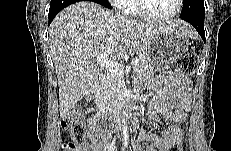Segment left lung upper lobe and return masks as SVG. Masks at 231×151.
I'll list each match as a JSON object with an SVG mask.
<instances>
[{"mask_svg":"<svg viewBox=\"0 0 231 151\" xmlns=\"http://www.w3.org/2000/svg\"><path fill=\"white\" fill-rule=\"evenodd\" d=\"M197 4H203L204 2L203 0H183V8H182V12L181 13H188L190 11V9Z\"/></svg>","mask_w":231,"mask_h":151,"instance_id":"left-lung-upper-lobe-1","label":"left lung upper lobe"}]
</instances>
